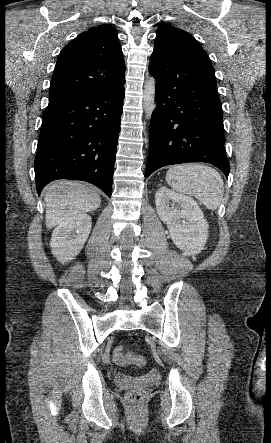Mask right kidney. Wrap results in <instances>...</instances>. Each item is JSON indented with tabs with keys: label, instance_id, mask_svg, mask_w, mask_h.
<instances>
[{
	"label": "right kidney",
	"instance_id": "1",
	"mask_svg": "<svg viewBox=\"0 0 271 443\" xmlns=\"http://www.w3.org/2000/svg\"><path fill=\"white\" fill-rule=\"evenodd\" d=\"M91 231V218L84 212L66 218L55 227L50 245L58 261L66 263L80 253Z\"/></svg>",
	"mask_w": 271,
	"mask_h": 443
}]
</instances>
